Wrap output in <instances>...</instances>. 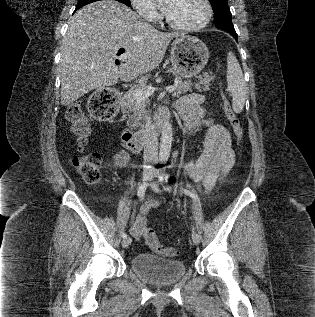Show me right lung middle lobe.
<instances>
[{
	"label": "right lung middle lobe",
	"mask_w": 315,
	"mask_h": 317,
	"mask_svg": "<svg viewBox=\"0 0 315 317\" xmlns=\"http://www.w3.org/2000/svg\"><path fill=\"white\" fill-rule=\"evenodd\" d=\"M96 1H99V0H79L78 1V4H77V7L76 8H81L83 7L84 5L86 4H89V3H92V2H96ZM116 1H119L127 6H130V0H116Z\"/></svg>",
	"instance_id": "dd1d6c3e"
}]
</instances>
